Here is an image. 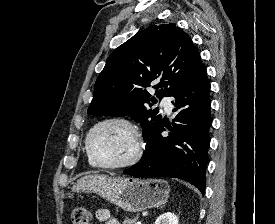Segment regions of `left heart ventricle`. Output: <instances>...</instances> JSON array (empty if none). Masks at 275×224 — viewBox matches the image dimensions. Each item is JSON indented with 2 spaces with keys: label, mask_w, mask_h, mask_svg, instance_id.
<instances>
[{
  "label": "left heart ventricle",
  "mask_w": 275,
  "mask_h": 224,
  "mask_svg": "<svg viewBox=\"0 0 275 224\" xmlns=\"http://www.w3.org/2000/svg\"><path fill=\"white\" fill-rule=\"evenodd\" d=\"M91 148L101 162L114 164L127 160L133 154L135 142L125 125L108 123L93 133Z\"/></svg>",
  "instance_id": "obj_1"
}]
</instances>
